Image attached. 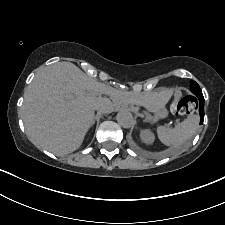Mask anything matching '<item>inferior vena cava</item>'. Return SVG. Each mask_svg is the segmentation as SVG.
<instances>
[{
  "label": "inferior vena cava",
  "mask_w": 225,
  "mask_h": 225,
  "mask_svg": "<svg viewBox=\"0 0 225 225\" xmlns=\"http://www.w3.org/2000/svg\"><path fill=\"white\" fill-rule=\"evenodd\" d=\"M96 109H102L101 107L97 106Z\"/></svg>",
  "instance_id": "602c4592"
}]
</instances>
